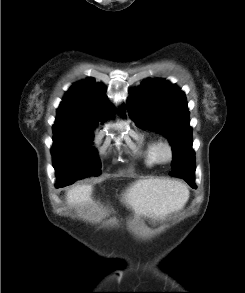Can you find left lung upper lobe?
Wrapping results in <instances>:
<instances>
[{"instance_id": "1", "label": "left lung upper lobe", "mask_w": 245, "mask_h": 293, "mask_svg": "<svg viewBox=\"0 0 245 293\" xmlns=\"http://www.w3.org/2000/svg\"><path fill=\"white\" fill-rule=\"evenodd\" d=\"M127 101L129 116L142 129L161 131L173 149L170 175L195 176V153L186 97L168 81L145 80Z\"/></svg>"}]
</instances>
